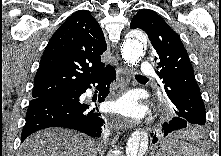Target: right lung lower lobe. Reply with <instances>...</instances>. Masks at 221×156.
<instances>
[{
    "instance_id": "98d812e1",
    "label": "right lung lower lobe",
    "mask_w": 221,
    "mask_h": 156,
    "mask_svg": "<svg viewBox=\"0 0 221 156\" xmlns=\"http://www.w3.org/2000/svg\"><path fill=\"white\" fill-rule=\"evenodd\" d=\"M116 78L115 69L108 66L100 75L82 84L67 97H40L33 99L28 107L26 123L21 134L23 142L30 134L48 127H64L100 137L104 120L91 105L81 100V95L91 84L99 89V102L105 100L109 86ZM98 111V109H97Z\"/></svg>"
}]
</instances>
